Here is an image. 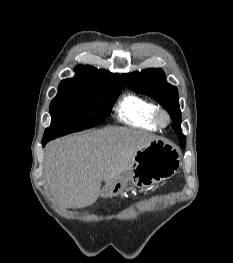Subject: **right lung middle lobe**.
Segmentation results:
<instances>
[{
    "label": "right lung middle lobe",
    "instance_id": "1",
    "mask_svg": "<svg viewBox=\"0 0 233 263\" xmlns=\"http://www.w3.org/2000/svg\"><path fill=\"white\" fill-rule=\"evenodd\" d=\"M120 88L97 94L56 96L50 104L51 125L43 140H52L101 124L110 115Z\"/></svg>",
    "mask_w": 233,
    "mask_h": 263
}]
</instances>
